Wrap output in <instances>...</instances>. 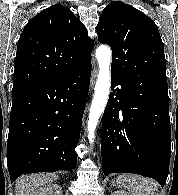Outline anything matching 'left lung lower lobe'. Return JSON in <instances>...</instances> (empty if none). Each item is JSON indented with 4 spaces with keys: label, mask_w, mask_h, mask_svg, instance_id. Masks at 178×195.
<instances>
[{
    "label": "left lung lower lobe",
    "mask_w": 178,
    "mask_h": 195,
    "mask_svg": "<svg viewBox=\"0 0 178 195\" xmlns=\"http://www.w3.org/2000/svg\"><path fill=\"white\" fill-rule=\"evenodd\" d=\"M117 85L121 88L114 90ZM111 90L102 121L104 174L135 173L164 186L171 154L169 99L140 92L113 75Z\"/></svg>",
    "instance_id": "obj_1"
}]
</instances>
